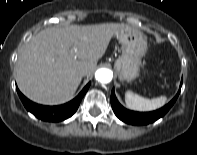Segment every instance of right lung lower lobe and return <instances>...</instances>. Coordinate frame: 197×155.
<instances>
[{
	"mask_svg": "<svg viewBox=\"0 0 197 155\" xmlns=\"http://www.w3.org/2000/svg\"><path fill=\"white\" fill-rule=\"evenodd\" d=\"M89 86L90 82L83 88L76 98L66 104L59 106H43L36 104L27 99L17 87L16 90L25 108L34 116L44 121L59 122L71 117L77 111L79 104L87 92Z\"/></svg>",
	"mask_w": 197,
	"mask_h": 155,
	"instance_id": "1",
	"label": "right lung lower lobe"
}]
</instances>
